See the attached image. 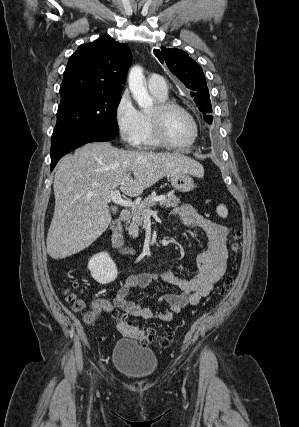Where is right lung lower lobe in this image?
Wrapping results in <instances>:
<instances>
[{
	"mask_svg": "<svg viewBox=\"0 0 299 427\" xmlns=\"http://www.w3.org/2000/svg\"><path fill=\"white\" fill-rule=\"evenodd\" d=\"M113 134L78 133L51 142V171L61 157L73 149L90 142H104L115 138Z\"/></svg>",
	"mask_w": 299,
	"mask_h": 427,
	"instance_id": "right-lung-lower-lobe-1",
	"label": "right lung lower lobe"
}]
</instances>
